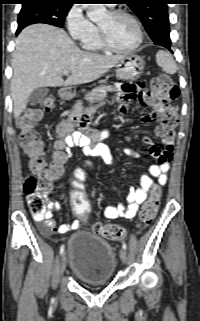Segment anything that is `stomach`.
<instances>
[{
  "label": "stomach",
  "instance_id": "0dacf381",
  "mask_svg": "<svg viewBox=\"0 0 200 321\" xmlns=\"http://www.w3.org/2000/svg\"><path fill=\"white\" fill-rule=\"evenodd\" d=\"M144 59L138 55H128L116 66V77L124 81H133L140 77L144 70ZM72 96V93H69Z\"/></svg>",
  "mask_w": 200,
  "mask_h": 321
}]
</instances>
